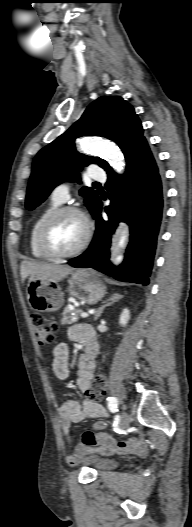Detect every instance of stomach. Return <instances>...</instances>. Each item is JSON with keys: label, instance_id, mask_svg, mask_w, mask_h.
Segmentation results:
<instances>
[{"label": "stomach", "instance_id": "0dacf381", "mask_svg": "<svg viewBox=\"0 0 192 527\" xmlns=\"http://www.w3.org/2000/svg\"><path fill=\"white\" fill-rule=\"evenodd\" d=\"M68 291L81 302L95 304L105 294V286L98 273L91 269H79L68 280ZM29 305L37 311H57L64 304L61 288L49 281L30 278L27 285Z\"/></svg>", "mask_w": 192, "mask_h": 527}]
</instances>
